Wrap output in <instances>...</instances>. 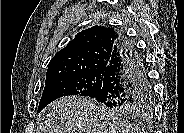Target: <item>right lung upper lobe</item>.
Listing matches in <instances>:
<instances>
[{
	"label": "right lung upper lobe",
	"instance_id": "right-lung-upper-lobe-1",
	"mask_svg": "<svg viewBox=\"0 0 184 133\" xmlns=\"http://www.w3.org/2000/svg\"><path fill=\"white\" fill-rule=\"evenodd\" d=\"M119 39L112 27L93 26L78 33L49 62L45 84L65 77L103 74Z\"/></svg>",
	"mask_w": 184,
	"mask_h": 133
}]
</instances>
